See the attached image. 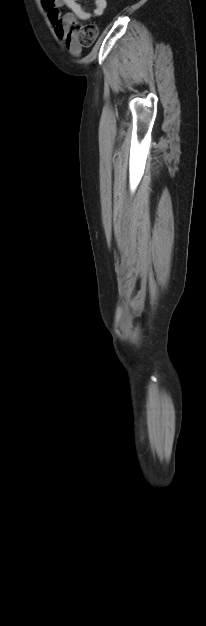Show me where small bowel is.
Masks as SVG:
<instances>
[{
  "mask_svg": "<svg viewBox=\"0 0 206 626\" xmlns=\"http://www.w3.org/2000/svg\"><path fill=\"white\" fill-rule=\"evenodd\" d=\"M42 5L54 25L57 37L64 42L72 55L78 56L82 50L78 38V22L101 16L106 9L107 0H94L92 12L86 11L77 0H42ZM64 6L69 8L70 12L62 14L60 9Z\"/></svg>",
  "mask_w": 206,
  "mask_h": 626,
  "instance_id": "obj_1",
  "label": "small bowel"
}]
</instances>
